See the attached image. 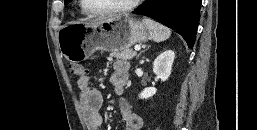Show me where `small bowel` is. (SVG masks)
<instances>
[{"mask_svg": "<svg viewBox=\"0 0 257 130\" xmlns=\"http://www.w3.org/2000/svg\"><path fill=\"white\" fill-rule=\"evenodd\" d=\"M129 78V64L118 60L113 64V73L110 81L117 95H122ZM80 90V105L89 130H102L103 118L100 110L103 105V96L90 85L88 76L77 81ZM119 111L124 122V130H142V118L134 113L127 100H119Z\"/></svg>", "mask_w": 257, "mask_h": 130, "instance_id": "obj_1", "label": "small bowel"}]
</instances>
